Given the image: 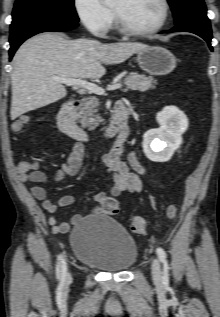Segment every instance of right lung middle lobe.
Returning a JSON list of instances; mask_svg holds the SVG:
<instances>
[{
    "label": "right lung middle lobe",
    "instance_id": "1",
    "mask_svg": "<svg viewBox=\"0 0 220 317\" xmlns=\"http://www.w3.org/2000/svg\"><path fill=\"white\" fill-rule=\"evenodd\" d=\"M59 17L78 22L74 0H16L11 27L37 17Z\"/></svg>",
    "mask_w": 220,
    "mask_h": 317
}]
</instances>
